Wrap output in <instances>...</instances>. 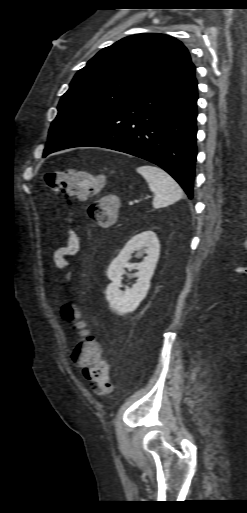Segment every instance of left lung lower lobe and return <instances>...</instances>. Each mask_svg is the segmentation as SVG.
Returning <instances> with one entry per match:
<instances>
[{
  "label": "left lung lower lobe",
  "instance_id": "1",
  "mask_svg": "<svg viewBox=\"0 0 247 513\" xmlns=\"http://www.w3.org/2000/svg\"><path fill=\"white\" fill-rule=\"evenodd\" d=\"M197 99L191 62L168 81L96 121L52 152L95 146L143 158L167 171L192 199Z\"/></svg>",
  "mask_w": 247,
  "mask_h": 513
}]
</instances>
